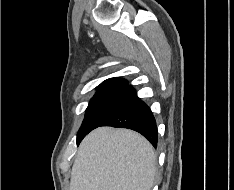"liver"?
I'll list each match as a JSON object with an SVG mask.
<instances>
[{"label":"liver","instance_id":"1","mask_svg":"<svg viewBox=\"0 0 234 190\" xmlns=\"http://www.w3.org/2000/svg\"><path fill=\"white\" fill-rule=\"evenodd\" d=\"M155 171L153 147L142 135L100 127L80 144L70 190H151Z\"/></svg>","mask_w":234,"mask_h":190}]
</instances>
